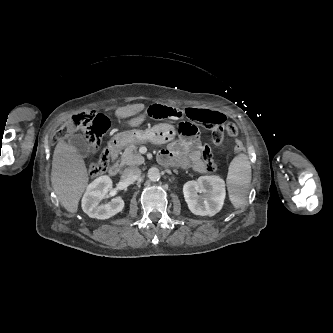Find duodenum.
I'll return each mask as SVG.
<instances>
[{
	"label": "duodenum",
	"instance_id": "410a0bca",
	"mask_svg": "<svg viewBox=\"0 0 333 333\" xmlns=\"http://www.w3.org/2000/svg\"><path fill=\"white\" fill-rule=\"evenodd\" d=\"M109 153L111 156V165L108 169V172L111 176H116L120 172V163L118 160L119 155V145L117 143H112L109 145Z\"/></svg>",
	"mask_w": 333,
	"mask_h": 333
}]
</instances>
